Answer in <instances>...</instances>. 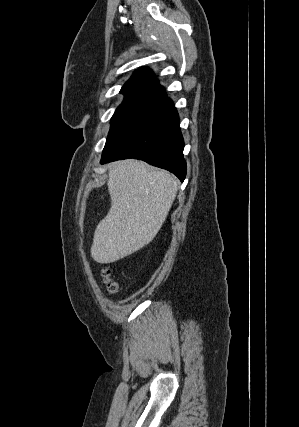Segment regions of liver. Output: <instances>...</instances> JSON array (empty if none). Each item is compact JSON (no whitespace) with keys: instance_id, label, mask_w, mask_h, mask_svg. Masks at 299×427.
I'll use <instances>...</instances> for the list:
<instances>
[{"instance_id":"6515ba94","label":"liver","mask_w":299,"mask_h":427,"mask_svg":"<svg viewBox=\"0 0 299 427\" xmlns=\"http://www.w3.org/2000/svg\"><path fill=\"white\" fill-rule=\"evenodd\" d=\"M111 208L97 225L91 256L113 263L149 244L161 229L178 191V182L165 170L142 161L124 160L108 172Z\"/></svg>"}]
</instances>
